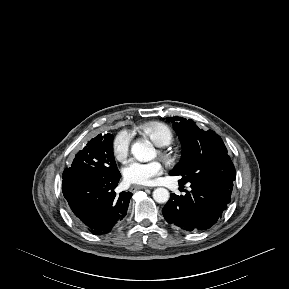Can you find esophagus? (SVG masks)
Masks as SVG:
<instances>
[{
    "instance_id": "1",
    "label": "esophagus",
    "mask_w": 289,
    "mask_h": 289,
    "mask_svg": "<svg viewBox=\"0 0 289 289\" xmlns=\"http://www.w3.org/2000/svg\"><path fill=\"white\" fill-rule=\"evenodd\" d=\"M141 189H146V187L133 185L130 190H131V192H136L137 190H141Z\"/></svg>"
}]
</instances>
